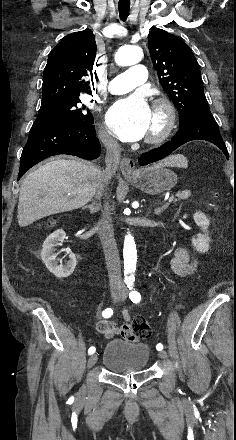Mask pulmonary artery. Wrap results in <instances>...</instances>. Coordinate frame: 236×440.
I'll return each instance as SVG.
<instances>
[{
	"label": "pulmonary artery",
	"mask_w": 236,
	"mask_h": 440,
	"mask_svg": "<svg viewBox=\"0 0 236 440\" xmlns=\"http://www.w3.org/2000/svg\"><path fill=\"white\" fill-rule=\"evenodd\" d=\"M147 70L144 65L137 64L114 77L108 86L111 94L121 95L128 93L144 84Z\"/></svg>",
	"instance_id": "obj_1"
}]
</instances>
